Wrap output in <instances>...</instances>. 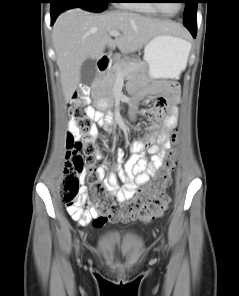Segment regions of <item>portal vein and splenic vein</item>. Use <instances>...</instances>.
Returning <instances> with one entry per match:
<instances>
[{
    "mask_svg": "<svg viewBox=\"0 0 239 296\" xmlns=\"http://www.w3.org/2000/svg\"><path fill=\"white\" fill-rule=\"evenodd\" d=\"M109 35H110V36H113V37H116V36H119L120 33H119V31H115V30H113V31H110V32H109ZM126 72H127V71H123V70L120 69V68L117 69V74L120 75V76L125 75Z\"/></svg>",
    "mask_w": 239,
    "mask_h": 296,
    "instance_id": "obj_1",
    "label": "portal vein and splenic vein"
}]
</instances>
